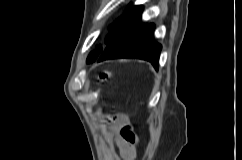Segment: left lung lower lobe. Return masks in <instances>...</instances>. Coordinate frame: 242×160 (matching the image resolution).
Masks as SVG:
<instances>
[{"mask_svg": "<svg viewBox=\"0 0 242 160\" xmlns=\"http://www.w3.org/2000/svg\"><path fill=\"white\" fill-rule=\"evenodd\" d=\"M154 24L142 25L140 16L112 38L99 54L98 61L114 58L148 60L158 69L161 45L153 40Z\"/></svg>", "mask_w": 242, "mask_h": 160, "instance_id": "0a47b994", "label": "left lung lower lobe"}]
</instances>
